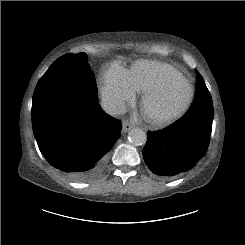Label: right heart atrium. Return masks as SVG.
Instances as JSON below:
<instances>
[{
    "instance_id": "d8ad5b80",
    "label": "right heart atrium",
    "mask_w": 245,
    "mask_h": 245,
    "mask_svg": "<svg viewBox=\"0 0 245 245\" xmlns=\"http://www.w3.org/2000/svg\"><path fill=\"white\" fill-rule=\"evenodd\" d=\"M103 99L116 112H122L135 99V90L129 81L127 70L120 64H111L100 83Z\"/></svg>"
}]
</instances>
